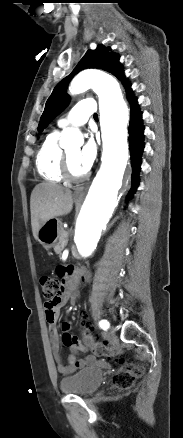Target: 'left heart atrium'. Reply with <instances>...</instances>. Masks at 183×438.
Here are the masks:
<instances>
[{"instance_id":"obj_1","label":"left heart atrium","mask_w":183,"mask_h":438,"mask_svg":"<svg viewBox=\"0 0 183 438\" xmlns=\"http://www.w3.org/2000/svg\"><path fill=\"white\" fill-rule=\"evenodd\" d=\"M97 155V143L93 138H90L79 152V163L87 172L93 165Z\"/></svg>"}]
</instances>
